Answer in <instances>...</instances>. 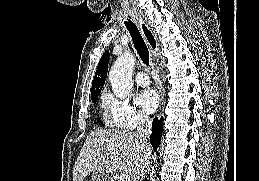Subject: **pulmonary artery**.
<instances>
[{
	"label": "pulmonary artery",
	"instance_id": "pulmonary-artery-1",
	"mask_svg": "<svg viewBox=\"0 0 259 181\" xmlns=\"http://www.w3.org/2000/svg\"><path fill=\"white\" fill-rule=\"evenodd\" d=\"M135 81L140 86H147L150 84L149 76L145 71H140L135 76Z\"/></svg>",
	"mask_w": 259,
	"mask_h": 181
}]
</instances>
